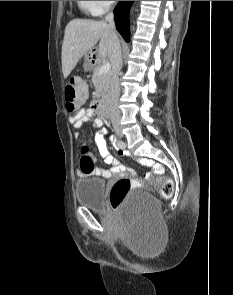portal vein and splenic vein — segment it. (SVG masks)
<instances>
[{
	"mask_svg": "<svg viewBox=\"0 0 233 295\" xmlns=\"http://www.w3.org/2000/svg\"><path fill=\"white\" fill-rule=\"evenodd\" d=\"M110 64L109 63H105L103 64L100 69H99V74H103V73H106V72H109L110 71Z\"/></svg>",
	"mask_w": 233,
	"mask_h": 295,
	"instance_id": "obj_1",
	"label": "portal vein and splenic vein"
}]
</instances>
